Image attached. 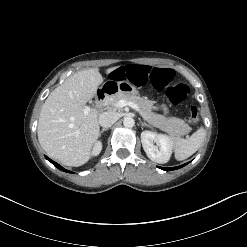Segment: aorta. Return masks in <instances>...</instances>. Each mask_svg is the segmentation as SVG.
Listing matches in <instances>:
<instances>
[{
	"label": "aorta",
	"mask_w": 247,
	"mask_h": 247,
	"mask_svg": "<svg viewBox=\"0 0 247 247\" xmlns=\"http://www.w3.org/2000/svg\"><path fill=\"white\" fill-rule=\"evenodd\" d=\"M123 125L126 128H132L135 125V121L132 117H125L123 120Z\"/></svg>",
	"instance_id": "1"
}]
</instances>
